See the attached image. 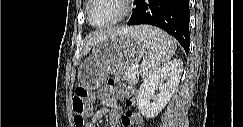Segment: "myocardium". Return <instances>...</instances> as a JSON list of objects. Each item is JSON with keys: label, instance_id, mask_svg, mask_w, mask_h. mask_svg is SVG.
Masks as SVG:
<instances>
[{"label": "myocardium", "instance_id": "1", "mask_svg": "<svg viewBox=\"0 0 243 127\" xmlns=\"http://www.w3.org/2000/svg\"><path fill=\"white\" fill-rule=\"evenodd\" d=\"M93 1L94 0L87 1V5L85 8V15H86V20L89 23V25L92 27H95V28H106V27L114 26V25L120 23L121 21H123L125 18H127L130 15L131 10H132V7H131L132 1L131 0H117L119 2V4L121 5L120 14L109 22L102 23V24H95L90 19V7H91Z\"/></svg>", "mask_w": 243, "mask_h": 127}]
</instances>
